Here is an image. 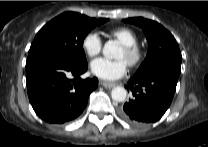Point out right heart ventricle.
I'll return each instance as SVG.
<instances>
[{"label":"right heart ventricle","mask_w":208,"mask_h":147,"mask_svg":"<svg viewBox=\"0 0 208 147\" xmlns=\"http://www.w3.org/2000/svg\"><path fill=\"white\" fill-rule=\"evenodd\" d=\"M111 35L119 40L123 45H133L137 43L136 34L129 28L119 27L111 31Z\"/></svg>","instance_id":"right-heart-ventricle-1"}]
</instances>
